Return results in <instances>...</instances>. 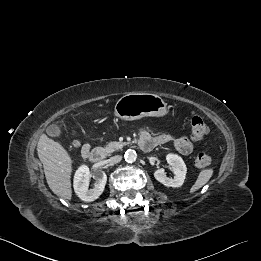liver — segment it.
<instances>
[{
	"mask_svg": "<svg viewBox=\"0 0 261 261\" xmlns=\"http://www.w3.org/2000/svg\"><path fill=\"white\" fill-rule=\"evenodd\" d=\"M37 151L52 192L70 200L72 198V159L68 152L59 142L48 138L45 134L38 141Z\"/></svg>",
	"mask_w": 261,
	"mask_h": 261,
	"instance_id": "1",
	"label": "liver"
}]
</instances>
